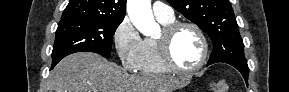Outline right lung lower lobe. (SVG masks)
Masks as SVG:
<instances>
[{"instance_id":"1","label":"right lung lower lobe","mask_w":289,"mask_h":92,"mask_svg":"<svg viewBox=\"0 0 289 92\" xmlns=\"http://www.w3.org/2000/svg\"><path fill=\"white\" fill-rule=\"evenodd\" d=\"M56 64H52V67H51V69L55 66Z\"/></svg>"}]
</instances>
